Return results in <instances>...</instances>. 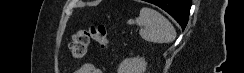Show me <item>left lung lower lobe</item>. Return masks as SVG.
Segmentation results:
<instances>
[{
	"label": "left lung lower lobe",
	"instance_id": "obj_1",
	"mask_svg": "<svg viewBox=\"0 0 244 73\" xmlns=\"http://www.w3.org/2000/svg\"><path fill=\"white\" fill-rule=\"evenodd\" d=\"M169 13L184 29L188 22L191 0H148Z\"/></svg>",
	"mask_w": 244,
	"mask_h": 73
}]
</instances>
